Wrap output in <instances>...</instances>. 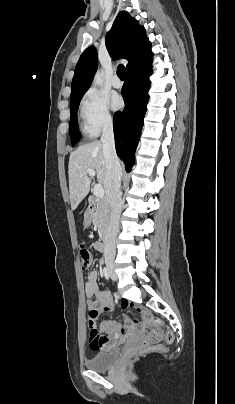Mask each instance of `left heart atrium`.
I'll return each mask as SVG.
<instances>
[{
    "instance_id": "obj_1",
    "label": "left heart atrium",
    "mask_w": 235,
    "mask_h": 404,
    "mask_svg": "<svg viewBox=\"0 0 235 404\" xmlns=\"http://www.w3.org/2000/svg\"><path fill=\"white\" fill-rule=\"evenodd\" d=\"M111 105L114 110H119L123 106V101L120 96L115 95L112 97Z\"/></svg>"
}]
</instances>
